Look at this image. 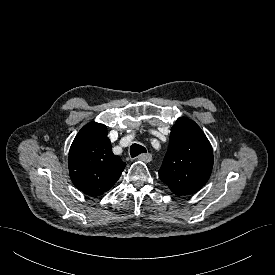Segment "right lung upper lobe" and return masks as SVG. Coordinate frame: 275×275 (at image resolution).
Segmentation results:
<instances>
[{
	"label": "right lung upper lobe",
	"mask_w": 275,
	"mask_h": 275,
	"mask_svg": "<svg viewBox=\"0 0 275 275\" xmlns=\"http://www.w3.org/2000/svg\"><path fill=\"white\" fill-rule=\"evenodd\" d=\"M68 166L74 185L85 194L101 195L120 178L126 163L113 154L107 127L91 122L75 137Z\"/></svg>",
	"instance_id": "1"
}]
</instances>
